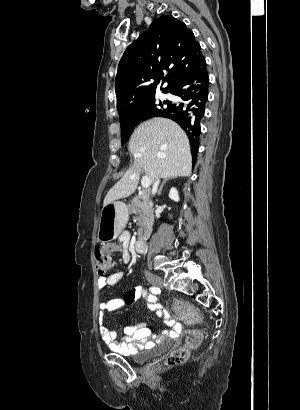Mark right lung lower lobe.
<instances>
[{"label": "right lung lower lobe", "mask_w": 300, "mask_h": 410, "mask_svg": "<svg viewBox=\"0 0 300 410\" xmlns=\"http://www.w3.org/2000/svg\"><path fill=\"white\" fill-rule=\"evenodd\" d=\"M208 87L206 62L202 57L177 79L170 91L180 97L184 103H169L165 109L154 116L172 119L185 130L190 140L193 163L197 158L201 133L200 122L208 99Z\"/></svg>", "instance_id": "obj_1"}]
</instances>
